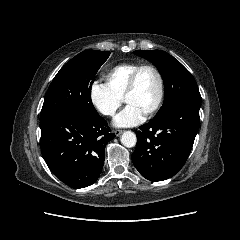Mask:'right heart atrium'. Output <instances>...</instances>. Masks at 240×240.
I'll return each mask as SVG.
<instances>
[{"instance_id": "obj_1", "label": "right heart atrium", "mask_w": 240, "mask_h": 240, "mask_svg": "<svg viewBox=\"0 0 240 240\" xmlns=\"http://www.w3.org/2000/svg\"><path fill=\"white\" fill-rule=\"evenodd\" d=\"M90 101L93 107L104 116H113L122 104V97L116 94L110 86L95 80L89 87Z\"/></svg>"}]
</instances>
